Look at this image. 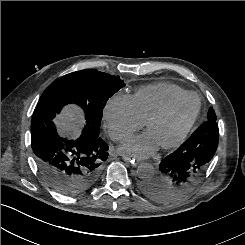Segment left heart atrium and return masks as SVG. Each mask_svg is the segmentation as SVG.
Masks as SVG:
<instances>
[{
	"instance_id": "obj_1",
	"label": "left heart atrium",
	"mask_w": 245,
	"mask_h": 245,
	"mask_svg": "<svg viewBox=\"0 0 245 245\" xmlns=\"http://www.w3.org/2000/svg\"><path fill=\"white\" fill-rule=\"evenodd\" d=\"M159 147L158 142L150 132L128 139L121 147L122 153L145 158L152 155Z\"/></svg>"
}]
</instances>
